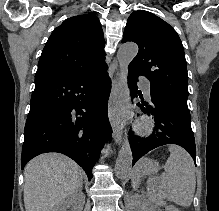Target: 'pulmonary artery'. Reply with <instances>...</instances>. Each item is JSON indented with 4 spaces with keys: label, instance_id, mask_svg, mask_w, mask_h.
Here are the masks:
<instances>
[{
    "label": "pulmonary artery",
    "instance_id": "e3ab8cb5",
    "mask_svg": "<svg viewBox=\"0 0 219 211\" xmlns=\"http://www.w3.org/2000/svg\"><path fill=\"white\" fill-rule=\"evenodd\" d=\"M142 87H143V91L145 95L149 97L150 96V85L148 83H144Z\"/></svg>",
    "mask_w": 219,
    "mask_h": 211
}]
</instances>
